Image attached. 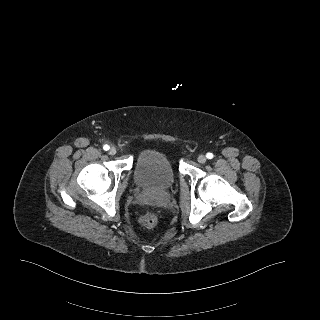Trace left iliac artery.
I'll use <instances>...</instances> for the list:
<instances>
[{"instance_id": "1", "label": "left iliac artery", "mask_w": 320, "mask_h": 320, "mask_svg": "<svg viewBox=\"0 0 320 320\" xmlns=\"http://www.w3.org/2000/svg\"><path fill=\"white\" fill-rule=\"evenodd\" d=\"M206 157H207L208 159H212V158H213V154L209 152V153L206 154Z\"/></svg>"}]
</instances>
